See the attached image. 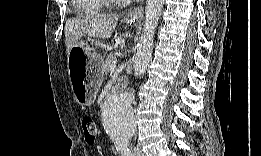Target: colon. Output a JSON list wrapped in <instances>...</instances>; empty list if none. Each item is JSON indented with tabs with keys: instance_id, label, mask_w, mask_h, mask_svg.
<instances>
[{
	"instance_id": "1",
	"label": "colon",
	"mask_w": 261,
	"mask_h": 156,
	"mask_svg": "<svg viewBox=\"0 0 261 156\" xmlns=\"http://www.w3.org/2000/svg\"><path fill=\"white\" fill-rule=\"evenodd\" d=\"M81 128L84 134V139L88 145H93L96 140V124L90 115H83L80 120Z\"/></svg>"
}]
</instances>
